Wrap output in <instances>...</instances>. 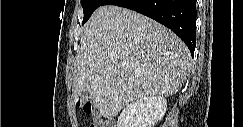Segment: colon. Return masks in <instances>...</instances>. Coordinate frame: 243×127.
Here are the masks:
<instances>
[{
	"mask_svg": "<svg viewBox=\"0 0 243 127\" xmlns=\"http://www.w3.org/2000/svg\"><path fill=\"white\" fill-rule=\"evenodd\" d=\"M80 105V103H79ZM82 108H83V111L86 113V114H89V115H92L93 116V123L91 125V127H98L100 126V119L94 115V111H93V108L92 106L89 104V103H84L82 105Z\"/></svg>",
	"mask_w": 243,
	"mask_h": 127,
	"instance_id": "1",
	"label": "colon"
}]
</instances>
